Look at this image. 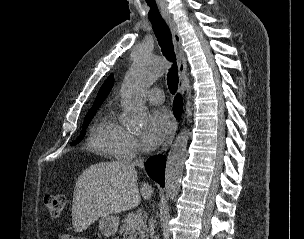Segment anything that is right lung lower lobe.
Masks as SVG:
<instances>
[{
    "mask_svg": "<svg viewBox=\"0 0 304 239\" xmlns=\"http://www.w3.org/2000/svg\"><path fill=\"white\" fill-rule=\"evenodd\" d=\"M182 110V98L178 94L174 100V115L179 118ZM145 169L148 175L164 187V173H165V157L157 155L149 158L145 163Z\"/></svg>",
    "mask_w": 304,
    "mask_h": 239,
    "instance_id": "98d812e1",
    "label": "right lung lower lobe"
}]
</instances>
